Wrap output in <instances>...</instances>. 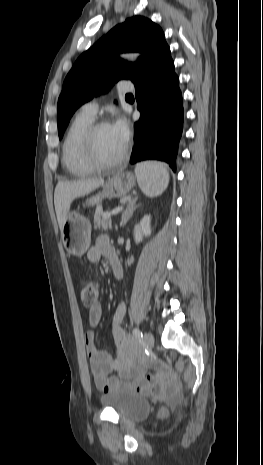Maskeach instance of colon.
I'll use <instances>...</instances> for the list:
<instances>
[{"instance_id":"obj_1","label":"colon","mask_w":263,"mask_h":465,"mask_svg":"<svg viewBox=\"0 0 263 465\" xmlns=\"http://www.w3.org/2000/svg\"><path fill=\"white\" fill-rule=\"evenodd\" d=\"M80 297L85 306L91 307L97 303L99 295L98 284L92 280H83L79 286ZM178 390L177 385L173 382L163 388L159 396H173Z\"/></svg>"}]
</instances>
